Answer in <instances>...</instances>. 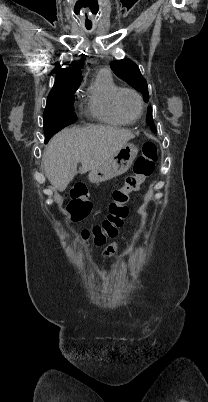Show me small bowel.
<instances>
[{
  "label": "small bowel",
  "instance_id": "obj_1",
  "mask_svg": "<svg viewBox=\"0 0 208 402\" xmlns=\"http://www.w3.org/2000/svg\"><path fill=\"white\" fill-rule=\"evenodd\" d=\"M104 252H105V254H106V257H107L108 259H111V258L113 257V254H117V253H118V248H117V247H114V246L107 247Z\"/></svg>",
  "mask_w": 208,
  "mask_h": 402
}]
</instances>
